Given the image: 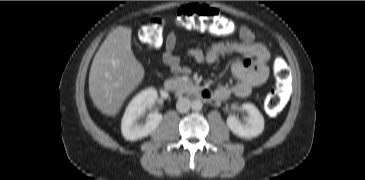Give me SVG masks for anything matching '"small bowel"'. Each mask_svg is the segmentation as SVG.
<instances>
[{
    "mask_svg": "<svg viewBox=\"0 0 365 180\" xmlns=\"http://www.w3.org/2000/svg\"><path fill=\"white\" fill-rule=\"evenodd\" d=\"M241 42H235L228 36L221 38L209 47H195L187 50V55L197 63H213L222 55L234 53L241 56L231 64V72L238 82L232 86L219 87L214 97L223 100L230 96L248 97L255 87L264 84L269 77L268 61L270 53L266 46L256 41L255 34L247 26L238 29ZM177 32L170 31L164 41L161 57L163 63L177 75H189L191 68L181 63L176 53Z\"/></svg>",
    "mask_w": 365,
    "mask_h": 180,
    "instance_id": "c3829d8e",
    "label": "small bowel"
}]
</instances>
